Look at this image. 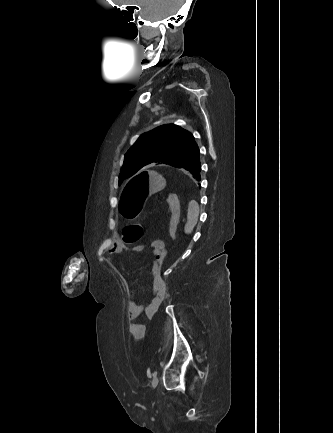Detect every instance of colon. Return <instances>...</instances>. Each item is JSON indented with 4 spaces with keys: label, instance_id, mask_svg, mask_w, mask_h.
<instances>
[{
    "label": "colon",
    "instance_id": "colon-1",
    "mask_svg": "<svg viewBox=\"0 0 333 433\" xmlns=\"http://www.w3.org/2000/svg\"><path fill=\"white\" fill-rule=\"evenodd\" d=\"M167 201L171 207V218H170V235L172 238L175 236L176 227L178 223L179 218V212H178V200L175 195H169L167 198ZM143 235V229L142 227L137 223H131L127 224L122 228L121 231V237L125 244L127 245H133L140 241Z\"/></svg>",
    "mask_w": 333,
    "mask_h": 433
}]
</instances>
